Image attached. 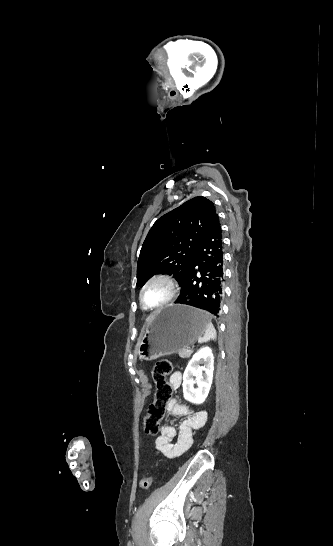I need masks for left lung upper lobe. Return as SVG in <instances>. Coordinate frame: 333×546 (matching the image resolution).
I'll return each mask as SVG.
<instances>
[{
  "label": "left lung upper lobe",
  "instance_id": "left-lung-upper-lobe-1",
  "mask_svg": "<svg viewBox=\"0 0 333 546\" xmlns=\"http://www.w3.org/2000/svg\"><path fill=\"white\" fill-rule=\"evenodd\" d=\"M218 215L214 204L195 197L160 217L149 230L137 265V286L158 273L173 274L179 285L194 260L198 242Z\"/></svg>",
  "mask_w": 333,
  "mask_h": 546
}]
</instances>
